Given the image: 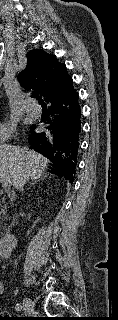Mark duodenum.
Instances as JSON below:
<instances>
[{
	"label": "duodenum",
	"instance_id": "duodenum-1",
	"mask_svg": "<svg viewBox=\"0 0 118 320\" xmlns=\"http://www.w3.org/2000/svg\"><path fill=\"white\" fill-rule=\"evenodd\" d=\"M17 238L12 233H7L0 241V257L8 258L16 245Z\"/></svg>",
	"mask_w": 118,
	"mask_h": 320
}]
</instances>
